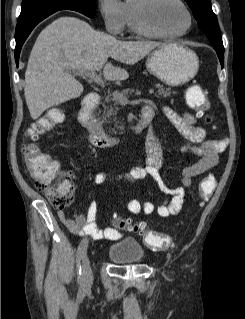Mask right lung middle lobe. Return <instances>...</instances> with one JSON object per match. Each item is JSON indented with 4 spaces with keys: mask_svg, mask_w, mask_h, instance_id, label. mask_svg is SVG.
Segmentation results:
<instances>
[{
    "mask_svg": "<svg viewBox=\"0 0 245 319\" xmlns=\"http://www.w3.org/2000/svg\"><path fill=\"white\" fill-rule=\"evenodd\" d=\"M95 5L96 0H23L18 23L62 9L75 10L93 18Z\"/></svg>",
    "mask_w": 245,
    "mask_h": 319,
    "instance_id": "1",
    "label": "right lung middle lobe"
}]
</instances>
